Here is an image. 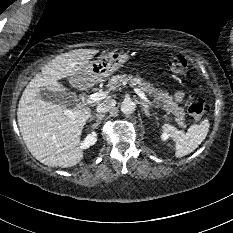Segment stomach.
<instances>
[{
    "instance_id": "0dacf381",
    "label": "stomach",
    "mask_w": 233,
    "mask_h": 233,
    "mask_svg": "<svg viewBox=\"0 0 233 233\" xmlns=\"http://www.w3.org/2000/svg\"><path fill=\"white\" fill-rule=\"evenodd\" d=\"M128 59V54L123 51H103L96 60L90 61L78 73L76 79L82 86L104 80L121 68Z\"/></svg>"
}]
</instances>
